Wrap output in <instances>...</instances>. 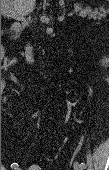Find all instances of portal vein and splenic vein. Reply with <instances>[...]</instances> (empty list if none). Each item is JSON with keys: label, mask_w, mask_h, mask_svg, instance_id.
Instances as JSON below:
<instances>
[{"label": "portal vein and splenic vein", "mask_w": 109, "mask_h": 170, "mask_svg": "<svg viewBox=\"0 0 109 170\" xmlns=\"http://www.w3.org/2000/svg\"><path fill=\"white\" fill-rule=\"evenodd\" d=\"M2 14L8 16V17H12V18H15L17 20H24V16L23 15H20V14H17L15 12H13L11 9H8L7 7L5 8H2ZM68 16H73V13L70 12L68 14ZM64 17L61 16L58 18L59 21H63Z\"/></svg>", "instance_id": "portal-vein-and-splenic-vein-1"}]
</instances>
